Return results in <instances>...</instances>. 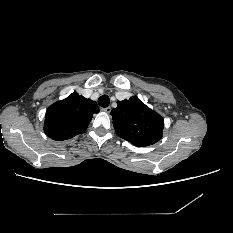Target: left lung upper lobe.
Here are the masks:
<instances>
[{
	"mask_svg": "<svg viewBox=\"0 0 233 233\" xmlns=\"http://www.w3.org/2000/svg\"><path fill=\"white\" fill-rule=\"evenodd\" d=\"M111 111L116 133L137 147L159 141L164 128L163 118L137 97L117 102Z\"/></svg>",
	"mask_w": 233,
	"mask_h": 233,
	"instance_id": "1",
	"label": "left lung upper lobe"
}]
</instances>
